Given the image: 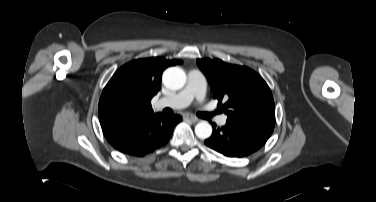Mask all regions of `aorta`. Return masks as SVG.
Listing matches in <instances>:
<instances>
[{"mask_svg":"<svg viewBox=\"0 0 376 202\" xmlns=\"http://www.w3.org/2000/svg\"><path fill=\"white\" fill-rule=\"evenodd\" d=\"M163 83L169 89H182L186 83V74L180 67L168 68L163 73ZM195 134L200 139H207L212 134V126L207 121H201L195 126Z\"/></svg>","mask_w":376,"mask_h":202,"instance_id":"1","label":"aorta"}]
</instances>
